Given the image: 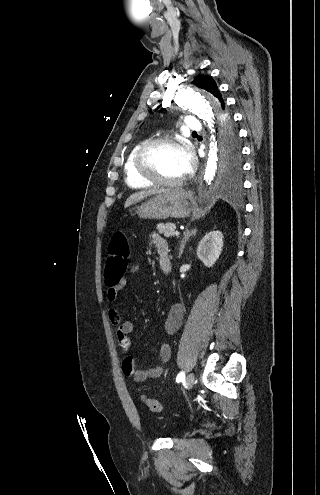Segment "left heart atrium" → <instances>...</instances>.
<instances>
[{
  "instance_id": "39dd6f15",
  "label": "left heart atrium",
  "mask_w": 320,
  "mask_h": 495,
  "mask_svg": "<svg viewBox=\"0 0 320 495\" xmlns=\"http://www.w3.org/2000/svg\"><path fill=\"white\" fill-rule=\"evenodd\" d=\"M192 162H193L192 155L190 153H187L186 157H185V171H186V173L190 170Z\"/></svg>"
}]
</instances>
